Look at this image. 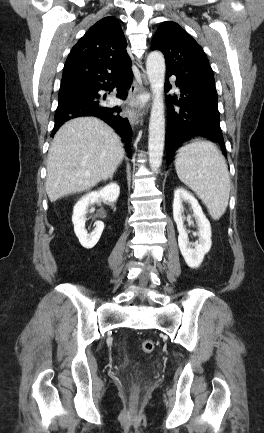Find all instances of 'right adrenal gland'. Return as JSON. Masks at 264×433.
<instances>
[{"instance_id": "1", "label": "right adrenal gland", "mask_w": 264, "mask_h": 433, "mask_svg": "<svg viewBox=\"0 0 264 433\" xmlns=\"http://www.w3.org/2000/svg\"><path fill=\"white\" fill-rule=\"evenodd\" d=\"M109 179H110V180H112V179H113V175H112V176H110V177H109Z\"/></svg>"}]
</instances>
